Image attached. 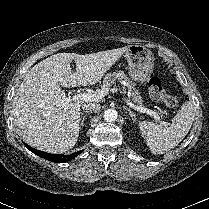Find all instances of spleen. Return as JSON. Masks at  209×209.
<instances>
[{"label":"spleen","mask_w":209,"mask_h":209,"mask_svg":"<svg viewBox=\"0 0 209 209\" xmlns=\"http://www.w3.org/2000/svg\"><path fill=\"white\" fill-rule=\"evenodd\" d=\"M194 117V106L187 101L178 110L169 127L142 121L139 123V129L151 152L163 154L175 148L185 138L192 126Z\"/></svg>","instance_id":"obj_1"}]
</instances>
